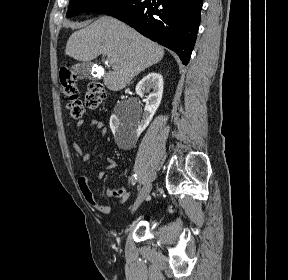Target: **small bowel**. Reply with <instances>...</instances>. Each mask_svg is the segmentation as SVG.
<instances>
[{
  "label": "small bowel",
  "mask_w": 288,
  "mask_h": 280,
  "mask_svg": "<svg viewBox=\"0 0 288 280\" xmlns=\"http://www.w3.org/2000/svg\"><path fill=\"white\" fill-rule=\"evenodd\" d=\"M84 125V121H79L77 123V127L81 128ZM90 125L92 127H95L96 129L100 130V133L102 136L107 135V128L105 127L104 123L101 120H98L96 118H93L90 120ZM73 149L76 152L77 156L83 161V162H88L90 159V155L85 152L78 143H73ZM116 167V162L113 158L107 157L106 158V166L104 170H101L96 173V177L98 179H103L106 175L107 171L113 170ZM88 173L84 172L83 174L79 175L77 179L78 187L87 202L88 205H90L92 208L95 210L104 213V214H109L112 210V205H117L120 203L125 202L129 197L130 193L126 190L125 187L120 186V187H109L106 191L107 197L114 198L112 201V204H103L100 203L92 189L90 188L89 181H88Z\"/></svg>",
  "instance_id": "1"
}]
</instances>
